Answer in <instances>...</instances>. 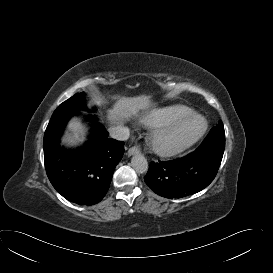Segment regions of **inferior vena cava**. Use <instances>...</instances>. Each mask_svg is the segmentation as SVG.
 Instances as JSON below:
<instances>
[{
	"label": "inferior vena cava",
	"instance_id": "obj_1",
	"mask_svg": "<svg viewBox=\"0 0 273 273\" xmlns=\"http://www.w3.org/2000/svg\"><path fill=\"white\" fill-rule=\"evenodd\" d=\"M108 131L111 138L122 140V141L127 140L130 135L129 129L123 126L110 127Z\"/></svg>",
	"mask_w": 273,
	"mask_h": 273
}]
</instances>
